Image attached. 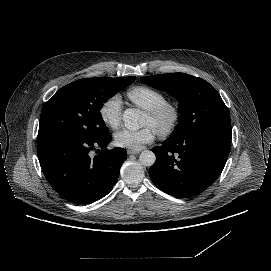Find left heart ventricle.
I'll return each instance as SVG.
<instances>
[{
	"mask_svg": "<svg viewBox=\"0 0 271 271\" xmlns=\"http://www.w3.org/2000/svg\"><path fill=\"white\" fill-rule=\"evenodd\" d=\"M144 124H147L154 129L153 122L147 114H145V117H144Z\"/></svg>",
	"mask_w": 271,
	"mask_h": 271,
	"instance_id": "b2bd125f",
	"label": "left heart ventricle"
}]
</instances>
